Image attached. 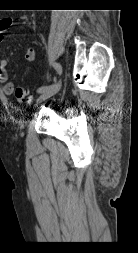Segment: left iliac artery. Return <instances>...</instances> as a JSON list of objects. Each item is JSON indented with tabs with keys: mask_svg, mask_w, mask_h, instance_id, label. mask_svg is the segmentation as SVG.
<instances>
[{
	"mask_svg": "<svg viewBox=\"0 0 138 253\" xmlns=\"http://www.w3.org/2000/svg\"><path fill=\"white\" fill-rule=\"evenodd\" d=\"M53 67L55 68V70L57 71V73L59 75L62 73V67H61V65L59 63H54ZM53 85H55V84H53ZM53 85H50V86H41L40 88H38L37 92L38 93H42V92H44L45 90H47L49 87H51Z\"/></svg>",
	"mask_w": 138,
	"mask_h": 253,
	"instance_id": "obj_1",
	"label": "left iliac artery"
}]
</instances>
